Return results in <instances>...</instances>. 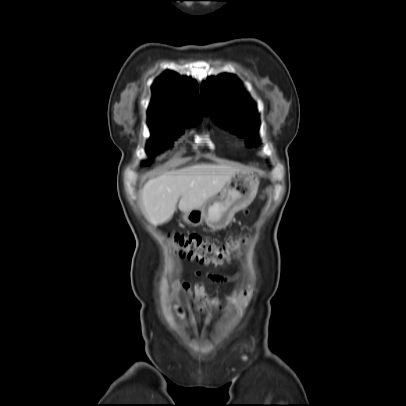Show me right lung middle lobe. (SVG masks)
<instances>
[{
  "label": "right lung middle lobe",
  "instance_id": "obj_1",
  "mask_svg": "<svg viewBox=\"0 0 406 406\" xmlns=\"http://www.w3.org/2000/svg\"><path fill=\"white\" fill-rule=\"evenodd\" d=\"M200 118L188 123H172V122H154L149 123L151 138L148 141L147 154L150 156L157 155L162 150L170 147L172 141L177 136L183 133V128L191 127L198 123ZM150 161L144 162V165Z\"/></svg>",
  "mask_w": 406,
  "mask_h": 406
}]
</instances>
